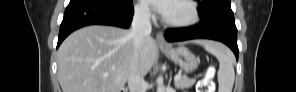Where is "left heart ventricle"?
Segmentation results:
<instances>
[{
  "label": "left heart ventricle",
  "mask_w": 296,
  "mask_h": 92,
  "mask_svg": "<svg viewBox=\"0 0 296 92\" xmlns=\"http://www.w3.org/2000/svg\"><path fill=\"white\" fill-rule=\"evenodd\" d=\"M190 16V10L182 2L175 1L171 5V10L169 14L166 16L169 20H184L187 19Z\"/></svg>",
  "instance_id": "b2bd125f"
}]
</instances>
